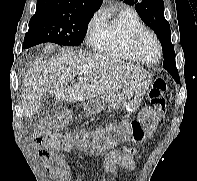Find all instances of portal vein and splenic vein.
<instances>
[{"instance_id": "1", "label": "portal vein and splenic vein", "mask_w": 197, "mask_h": 181, "mask_svg": "<svg viewBox=\"0 0 197 181\" xmlns=\"http://www.w3.org/2000/svg\"><path fill=\"white\" fill-rule=\"evenodd\" d=\"M79 81H83V82H88L89 79L88 78H83V77H78Z\"/></svg>"}]
</instances>
